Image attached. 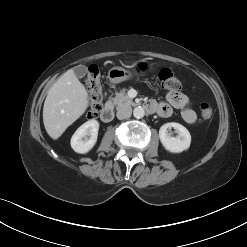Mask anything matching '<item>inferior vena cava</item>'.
Instances as JSON below:
<instances>
[{"mask_svg":"<svg viewBox=\"0 0 247 247\" xmlns=\"http://www.w3.org/2000/svg\"><path fill=\"white\" fill-rule=\"evenodd\" d=\"M132 114V108L130 105H122L117 109V118L122 120V119H127L131 116Z\"/></svg>","mask_w":247,"mask_h":247,"instance_id":"inferior-vena-cava-1","label":"inferior vena cava"}]
</instances>
